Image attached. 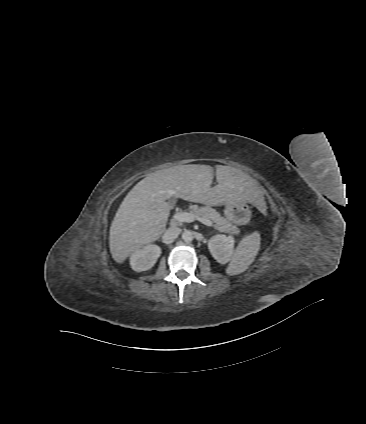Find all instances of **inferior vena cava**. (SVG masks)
Here are the masks:
<instances>
[{
  "mask_svg": "<svg viewBox=\"0 0 366 424\" xmlns=\"http://www.w3.org/2000/svg\"><path fill=\"white\" fill-rule=\"evenodd\" d=\"M181 229L178 227H170L166 230L164 234V240L169 241L177 238L181 233Z\"/></svg>",
  "mask_w": 366,
  "mask_h": 424,
  "instance_id": "obj_1",
  "label": "inferior vena cava"
}]
</instances>
